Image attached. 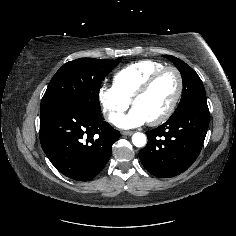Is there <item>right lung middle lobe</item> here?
<instances>
[{"instance_id":"dd1d6c3e","label":"right lung middle lobe","mask_w":236,"mask_h":236,"mask_svg":"<svg viewBox=\"0 0 236 236\" xmlns=\"http://www.w3.org/2000/svg\"><path fill=\"white\" fill-rule=\"evenodd\" d=\"M120 60L121 58H80L67 62L51 79L42 98L40 111L56 103L71 102L92 112L101 113V83Z\"/></svg>"}]
</instances>
